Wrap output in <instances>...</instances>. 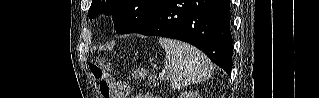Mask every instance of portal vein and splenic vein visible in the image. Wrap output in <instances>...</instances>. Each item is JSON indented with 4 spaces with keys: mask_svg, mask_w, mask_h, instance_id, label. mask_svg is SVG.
<instances>
[{
    "mask_svg": "<svg viewBox=\"0 0 319 98\" xmlns=\"http://www.w3.org/2000/svg\"><path fill=\"white\" fill-rule=\"evenodd\" d=\"M160 76H164V72L160 73Z\"/></svg>",
    "mask_w": 319,
    "mask_h": 98,
    "instance_id": "18ae733b",
    "label": "portal vein and splenic vein"
}]
</instances>
